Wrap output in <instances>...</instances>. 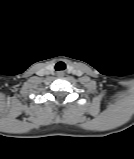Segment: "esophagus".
Wrapping results in <instances>:
<instances>
[{"label": "esophagus", "mask_w": 134, "mask_h": 159, "mask_svg": "<svg viewBox=\"0 0 134 159\" xmlns=\"http://www.w3.org/2000/svg\"><path fill=\"white\" fill-rule=\"evenodd\" d=\"M57 75H58L59 77H61V76H63V72H58Z\"/></svg>", "instance_id": "obj_1"}]
</instances>
